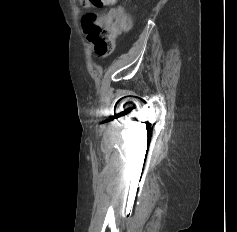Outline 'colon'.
Segmentation results:
<instances>
[{
	"mask_svg": "<svg viewBox=\"0 0 237 232\" xmlns=\"http://www.w3.org/2000/svg\"><path fill=\"white\" fill-rule=\"evenodd\" d=\"M87 8L82 16V25L87 33V39L94 45L98 56L110 55L114 48L116 37L122 30L129 29L132 18L121 8L111 9L107 14L100 15L93 7L112 5L116 0H82Z\"/></svg>",
	"mask_w": 237,
	"mask_h": 232,
	"instance_id": "5ec220e1",
	"label": "colon"
}]
</instances>
